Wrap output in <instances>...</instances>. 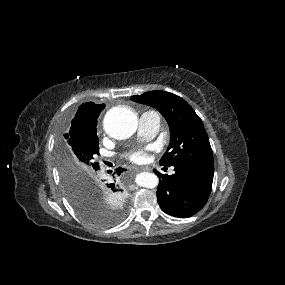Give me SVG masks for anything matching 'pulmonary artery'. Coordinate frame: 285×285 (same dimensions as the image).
<instances>
[{
	"instance_id": "1",
	"label": "pulmonary artery",
	"mask_w": 285,
	"mask_h": 285,
	"mask_svg": "<svg viewBox=\"0 0 285 285\" xmlns=\"http://www.w3.org/2000/svg\"><path fill=\"white\" fill-rule=\"evenodd\" d=\"M160 125V115L156 111H146L140 117L139 133L144 138H152L158 133Z\"/></svg>"
}]
</instances>
